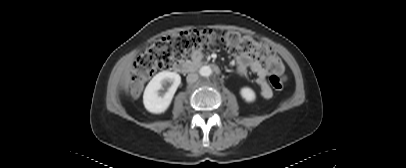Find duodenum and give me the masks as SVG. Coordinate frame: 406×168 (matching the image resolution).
Segmentation results:
<instances>
[{
	"instance_id": "410a0bca",
	"label": "duodenum",
	"mask_w": 406,
	"mask_h": 168,
	"mask_svg": "<svg viewBox=\"0 0 406 168\" xmlns=\"http://www.w3.org/2000/svg\"><path fill=\"white\" fill-rule=\"evenodd\" d=\"M206 62L200 60H178L172 65V69L179 73H189L204 66H208ZM217 73L220 72L218 67H214Z\"/></svg>"
}]
</instances>
